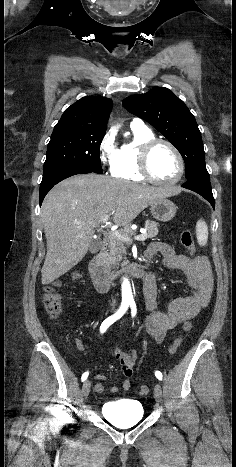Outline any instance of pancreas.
I'll use <instances>...</instances> for the list:
<instances>
[{"label":"pancreas","instance_id":"1","mask_svg":"<svg viewBox=\"0 0 236 467\" xmlns=\"http://www.w3.org/2000/svg\"><path fill=\"white\" fill-rule=\"evenodd\" d=\"M147 228V238H155L158 235V223L155 221L147 220L145 223ZM121 233L127 234L128 236L134 234V231L131 228H125ZM126 245H129V241H123L117 238L116 236L110 234L108 237V250L104 252V264L111 270L120 261H123V265L127 263L126 261Z\"/></svg>","mask_w":236,"mask_h":467}]
</instances>
